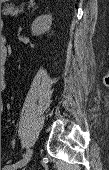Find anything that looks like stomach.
<instances>
[{
	"label": "stomach",
	"mask_w": 109,
	"mask_h": 170,
	"mask_svg": "<svg viewBox=\"0 0 109 170\" xmlns=\"http://www.w3.org/2000/svg\"><path fill=\"white\" fill-rule=\"evenodd\" d=\"M10 0H1V3H5V2H8Z\"/></svg>",
	"instance_id": "obj_1"
}]
</instances>
